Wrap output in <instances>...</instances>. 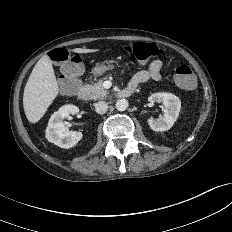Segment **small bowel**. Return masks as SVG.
Returning a JSON list of instances; mask_svg holds the SVG:
<instances>
[{"label":"small bowel","instance_id":"obj_1","mask_svg":"<svg viewBox=\"0 0 232 232\" xmlns=\"http://www.w3.org/2000/svg\"><path fill=\"white\" fill-rule=\"evenodd\" d=\"M163 63L161 60H153L147 69L138 71L131 79L129 86L133 90L137 88L139 84L145 83L148 80L159 81L162 78L161 70Z\"/></svg>","mask_w":232,"mask_h":232}]
</instances>
